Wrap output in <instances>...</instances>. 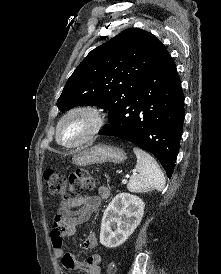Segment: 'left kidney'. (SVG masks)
Listing matches in <instances>:
<instances>
[{
	"label": "left kidney",
	"instance_id": "obj_1",
	"mask_svg": "<svg viewBox=\"0 0 221 274\" xmlns=\"http://www.w3.org/2000/svg\"><path fill=\"white\" fill-rule=\"evenodd\" d=\"M144 207L145 203L136 195H116L103 214L100 243L107 248L123 244L140 224Z\"/></svg>",
	"mask_w": 221,
	"mask_h": 274
}]
</instances>
